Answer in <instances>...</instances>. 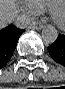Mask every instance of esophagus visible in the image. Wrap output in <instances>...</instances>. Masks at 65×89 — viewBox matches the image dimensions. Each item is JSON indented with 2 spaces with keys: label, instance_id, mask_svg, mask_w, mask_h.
<instances>
[{
  "label": "esophagus",
  "instance_id": "obj_1",
  "mask_svg": "<svg viewBox=\"0 0 65 89\" xmlns=\"http://www.w3.org/2000/svg\"><path fill=\"white\" fill-rule=\"evenodd\" d=\"M31 28L33 29H41L43 27V24L41 22L38 21H34L32 22V24L30 25Z\"/></svg>",
  "mask_w": 65,
  "mask_h": 89
}]
</instances>
